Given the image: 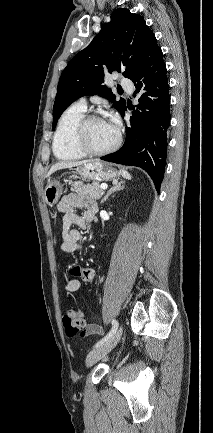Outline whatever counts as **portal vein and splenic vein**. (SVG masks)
<instances>
[{"instance_id": "obj_1", "label": "portal vein and splenic vein", "mask_w": 213, "mask_h": 433, "mask_svg": "<svg viewBox=\"0 0 213 433\" xmlns=\"http://www.w3.org/2000/svg\"><path fill=\"white\" fill-rule=\"evenodd\" d=\"M100 188H101L102 190H106V189H107V184H102V185L100 186Z\"/></svg>"}]
</instances>
